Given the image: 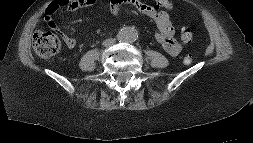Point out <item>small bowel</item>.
Here are the masks:
<instances>
[{
  "mask_svg": "<svg viewBox=\"0 0 253 143\" xmlns=\"http://www.w3.org/2000/svg\"><path fill=\"white\" fill-rule=\"evenodd\" d=\"M95 0H92L94 2ZM131 5L140 14L152 18L158 27L156 38L163 49L171 56L179 55L183 50V45L174 39V27L168 11L173 8L170 0H155L154 4H147L141 0H110V10L115 17L120 16L122 5ZM53 14L47 9L45 20L49 28L56 31L62 38L64 44L72 49L76 46V40L67 35L54 21Z\"/></svg>",
  "mask_w": 253,
  "mask_h": 143,
  "instance_id": "obj_1",
  "label": "small bowel"
}]
</instances>
